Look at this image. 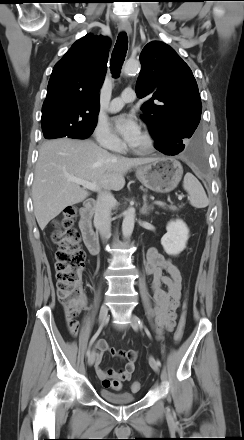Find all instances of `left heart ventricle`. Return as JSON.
Returning <instances> with one entry per match:
<instances>
[{
  "instance_id": "left-heart-ventricle-1",
  "label": "left heart ventricle",
  "mask_w": 244,
  "mask_h": 440,
  "mask_svg": "<svg viewBox=\"0 0 244 440\" xmlns=\"http://www.w3.org/2000/svg\"><path fill=\"white\" fill-rule=\"evenodd\" d=\"M142 142H143L142 135H140V137L138 138V140H137L132 146L137 147V146L141 145Z\"/></svg>"
}]
</instances>
